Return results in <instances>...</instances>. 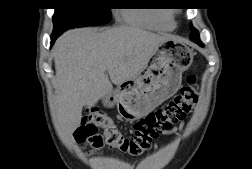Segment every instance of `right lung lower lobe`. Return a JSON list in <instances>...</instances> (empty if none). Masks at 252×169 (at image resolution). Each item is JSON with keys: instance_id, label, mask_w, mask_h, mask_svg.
<instances>
[{"instance_id": "obj_1", "label": "right lung lower lobe", "mask_w": 252, "mask_h": 169, "mask_svg": "<svg viewBox=\"0 0 252 169\" xmlns=\"http://www.w3.org/2000/svg\"><path fill=\"white\" fill-rule=\"evenodd\" d=\"M63 32H53L52 36H51V44L53 45L55 40L57 39V37L62 34Z\"/></svg>"}]
</instances>
